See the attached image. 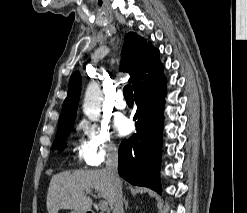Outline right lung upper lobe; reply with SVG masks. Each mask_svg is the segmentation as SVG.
I'll return each instance as SVG.
<instances>
[{
    "instance_id": "1",
    "label": "right lung upper lobe",
    "mask_w": 247,
    "mask_h": 213,
    "mask_svg": "<svg viewBox=\"0 0 247 213\" xmlns=\"http://www.w3.org/2000/svg\"><path fill=\"white\" fill-rule=\"evenodd\" d=\"M159 51L150 42L136 33H128L124 39L120 70L130 74L129 82L135 89L142 82L162 71ZM81 77L78 72L71 75L68 95L65 99L58 127L73 125L80 96Z\"/></svg>"
}]
</instances>
